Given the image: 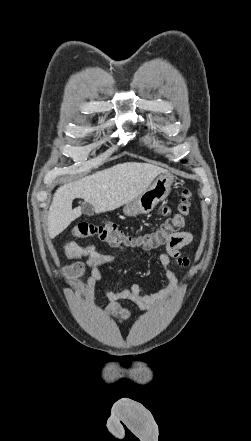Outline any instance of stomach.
Here are the masks:
<instances>
[{
    "mask_svg": "<svg viewBox=\"0 0 251 441\" xmlns=\"http://www.w3.org/2000/svg\"><path fill=\"white\" fill-rule=\"evenodd\" d=\"M174 180L171 173H161L144 192L125 204L123 213L128 217L148 214L169 195Z\"/></svg>",
    "mask_w": 251,
    "mask_h": 441,
    "instance_id": "stomach-1",
    "label": "stomach"
}]
</instances>
